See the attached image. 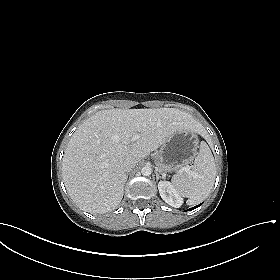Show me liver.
<instances>
[{
  "label": "liver",
  "mask_w": 280,
  "mask_h": 280,
  "mask_svg": "<svg viewBox=\"0 0 280 280\" xmlns=\"http://www.w3.org/2000/svg\"><path fill=\"white\" fill-rule=\"evenodd\" d=\"M202 126L175 108L109 109L81 124L64 152L62 174L68 194L84 211L105 213L122 200L127 179L123 160L136 163L158 149L174 133ZM139 138L132 141V137Z\"/></svg>",
  "instance_id": "1"
}]
</instances>
